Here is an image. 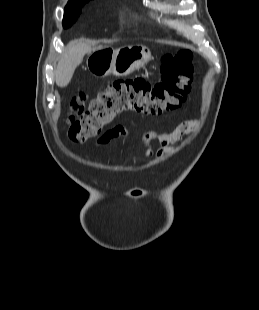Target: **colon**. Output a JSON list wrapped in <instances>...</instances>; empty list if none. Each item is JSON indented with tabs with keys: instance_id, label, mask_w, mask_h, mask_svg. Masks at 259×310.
Returning <instances> with one entry per match:
<instances>
[{
	"instance_id": "colon-1",
	"label": "colon",
	"mask_w": 259,
	"mask_h": 310,
	"mask_svg": "<svg viewBox=\"0 0 259 310\" xmlns=\"http://www.w3.org/2000/svg\"><path fill=\"white\" fill-rule=\"evenodd\" d=\"M192 54L188 50L166 53L161 58V80L155 84L143 78L114 81L93 98L80 92L70 103L69 138L85 142L102 132L119 115L134 111L157 116L182 104L191 88Z\"/></svg>"
}]
</instances>
